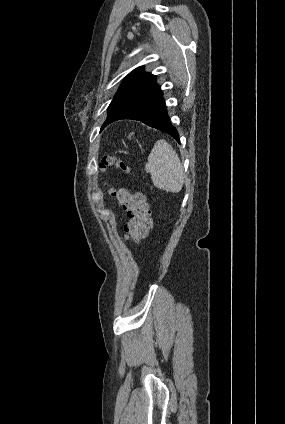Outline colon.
Masks as SVG:
<instances>
[{"mask_svg": "<svg viewBox=\"0 0 285 424\" xmlns=\"http://www.w3.org/2000/svg\"><path fill=\"white\" fill-rule=\"evenodd\" d=\"M115 167L124 172H129V166L122 159L107 155L100 163L101 170ZM110 195L127 212L129 221L124 228V236L128 241L138 242L144 238L152 226L151 210L146 196L143 193H132L127 189L108 188Z\"/></svg>", "mask_w": 285, "mask_h": 424, "instance_id": "obj_1", "label": "colon"}]
</instances>
